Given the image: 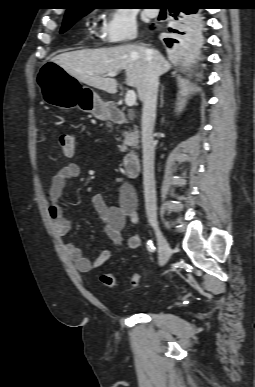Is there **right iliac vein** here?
<instances>
[{"mask_svg":"<svg viewBox=\"0 0 255 387\" xmlns=\"http://www.w3.org/2000/svg\"><path fill=\"white\" fill-rule=\"evenodd\" d=\"M152 227H153V229L155 231V234H156L157 240H158V246H159V265L160 266H164L168 262L172 250H171V247H170L167 239L165 238L164 234L160 230L158 224L153 223Z\"/></svg>","mask_w":255,"mask_h":387,"instance_id":"1","label":"right iliac vein"}]
</instances>
